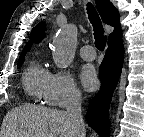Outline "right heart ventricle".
Instances as JSON below:
<instances>
[{"mask_svg":"<svg viewBox=\"0 0 144 137\" xmlns=\"http://www.w3.org/2000/svg\"><path fill=\"white\" fill-rule=\"evenodd\" d=\"M50 74L41 63L33 61L23 74L25 92L35 99H41L47 89Z\"/></svg>","mask_w":144,"mask_h":137,"instance_id":"obj_1","label":"right heart ventricle"}]
</instances>
